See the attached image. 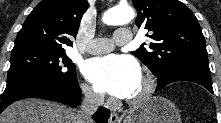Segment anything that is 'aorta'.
<instances>
[{"instance_id": "1", "label": "aorta", "mask_w": 221, "mask_h": 123, "mask_svg": "<svg viewBox=\"0 0 221 123\" xmlns=\"http://www.w3.org/2000/svg\"><path fill=\"white\" fill-rule=\"evenodd\" d=\"M135 17L129 6H117L109 9L103 15V22L107 25H123L131 22Z\"/></svg>"}]
</instances>
